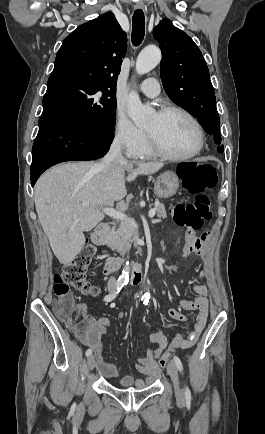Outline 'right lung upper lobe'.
<instances>
[{
	"label": "right lung upper lobe",
	"instance_id": "1",
	"mask_svg": "<svg viewBox=\"0 0 265 434\" xmlns=\"http://www.w3.org/2000/svg\"><path fill=\"white\" fill-rule=\"evenodd\" d=\"M127 38L115 16L109 12L80 25L66 37L57 53L52 77L90 76L115 84Z\"/></svg>",
	"mask_w": 265,
	"mask_h": 434
}]
</instances>
